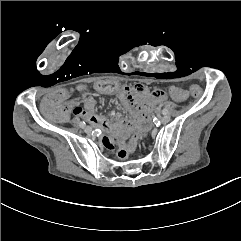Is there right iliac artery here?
I'll return each mask as SVG.
<instances>
[{
  "label": "right iliac artery",
  "instance_id": "82829eb1",
  "mask_svg": "<svg viewBox=\"0 0 241 241\" xmlns=\"http://www.w3.org/2000/svg\"><path fill=\"white\" fill-rule=\"evenodd\" d=\"M79 126L81 127V128H84L85 126H86V123L83 121V122H80L79 123Z\"/></svg>",
  "mask_w": 241,
  "mask_h": 241
}]
</instances>
